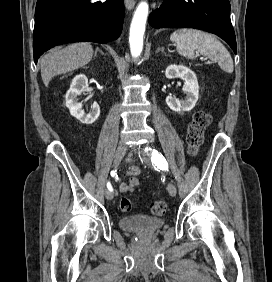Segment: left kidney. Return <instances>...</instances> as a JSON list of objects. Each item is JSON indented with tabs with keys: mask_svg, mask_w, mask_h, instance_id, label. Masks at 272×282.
I'll use <instances>...</instances> for the list:
<instances>
[{
	"mask_svg": "<svg viewBox=\"0 0 272 282\" xmlns=\"http://www.w3.org/2000/svg\"><path fill=\"white\" fill-rule=\"evenodd\" d=\"M167 79L180 78L184 81L183 92L186 93L185 100H179L171 95L166 97V104L174 112L190 111L194 108L198 96L199 86L195 73L184 65H169L166 68Z\"/></svg>",
	"mask_w": 272,
	"mask_h": 282,
	"instance_id": "5707ae66",
	"label": "left kidney"
}]
</instances>
